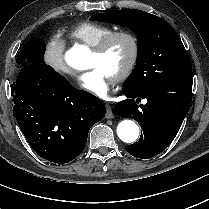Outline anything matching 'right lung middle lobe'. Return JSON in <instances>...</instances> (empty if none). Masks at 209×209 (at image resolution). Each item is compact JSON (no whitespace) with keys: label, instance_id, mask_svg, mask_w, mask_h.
Segmentation results:
<instances>
[{"label":"right lung middle lobe","instance_id":"right-lung-middle-lobe-1","mask_svg":"<svg viewBox=\"0 0 209 209\" xmlns=\"http://www.w3.org/2000/svg\"><path fill=\"white\" fill-rule=\"evenodd\" d=\"M45 43L39 37L30 39L19 51L16 58L18 64L29 63H42L45 53Z\"/></svg>","mask_w":209,"mask_h":209}]
</instances>
